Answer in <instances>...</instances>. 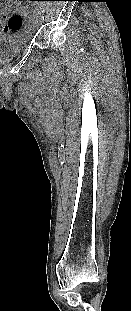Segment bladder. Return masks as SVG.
<instances>
[{"label": "bladder", "mask_w": 131, "mask_h": 311, "mask_svg": "<svg viewBox=\"0 0 131 311\" xmlns=\"http://www.w3.org/2000/svg\"><path fill=\"white\" fill-rule=\"evenodd\" d=\"M28 46V41L21 37L0 36V62L11 60Z\"/></svg>", "instance_id": "1"}]
</instances>
